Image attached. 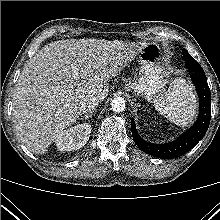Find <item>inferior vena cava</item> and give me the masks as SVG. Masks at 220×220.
<instances>
[{"instance_id": "inferior-vena-cava-1", "label": "inferior vena cava", "mask_w": 220, "mask_h": 220, "mask_svg": "<svg viewBox=\"0 0 220 220\" xmlns=\"http://www.w3.org/2000/svg\"><path fill=\"white\" fill-rule=\"evenodd\" d=\"M100 102L97 96H91L80 103V111L83 113L92 112Z\"/></svg>"}]
</instances>
